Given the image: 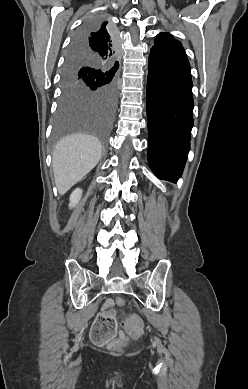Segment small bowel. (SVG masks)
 <instances>
[{"instance_id": "c3829d8e", "label": "small bowel", "mask_w": 248, "mask_h": 389, "mask_svg": "<svg viewBox=\"0 0 248 389\" xmlns=\"http://www.w3.org/2000/svg\"><path fill=\"white\" fill-rule=\"evenodd\" d=\"M114 305L113 299L109 298L104 302L103 305V313L107 315V317H115L114 311L110 310V308ZM122 326L127 334L136 338L141 335L142 332V324L140 319L134 315H127L124 317L122 321ZM122 334V332H121Z\"/></svg>"}]
</instances>
